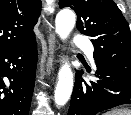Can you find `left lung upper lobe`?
I'll list each match as a JSON object with an SVG mask.
<instances>
[{"label": "left lung upper lobe", "instance_id": "left-lung-upper-lobe-1", "mask_svg": "<svg viewBox=\"0 0 131 115\" xmlns=\"http://www.w3.org/2000/svg\"><path fill=\"white\" fill-rule=\"evenodd\" d=\"M77 14V29L90 36L96 62L131 74V34L112 0H59Z\"/></svg>", "mask_w": 131, "mask_h": 115}]
</instances>
